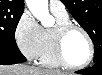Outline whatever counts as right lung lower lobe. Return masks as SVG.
<instances>
[{
  "label": "right lung lower lobe",
  "mask_w": 102,
  "mask_h": 75,
  "mask_svg": "<svg viewBox=\"0 0 102 75\" xmlns=\"http://www.w3.org/2000/svg\"><path fill=\"white\" fill-rule=\"evenodd\" d=\"M25 61L26 58L21 54L18 47H0V65L16 64Z\"/></svg>",
  "instance_id": "1"
}]
</instances>
